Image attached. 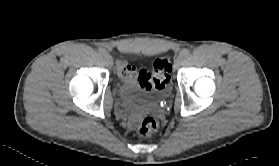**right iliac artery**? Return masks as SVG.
I'll return each instance as SVG.
<instances>
[{
	"instance_id": "1",
	"label": "right iliac artery",
	"mask_w": 279,
	"mask_h": 166,
	"mask_svg": "<svg viewBox=\"0 0 279 166\" xmlns=\"http://www.w3.org/2000/svg\"><path fill=\"white\" fill-rule=\"evenodd\" d=\"M98 53L101 54V55H105V54H106V51H105V49L100 48V49L98 50Z\"/></svg>"
}]
</instances>
